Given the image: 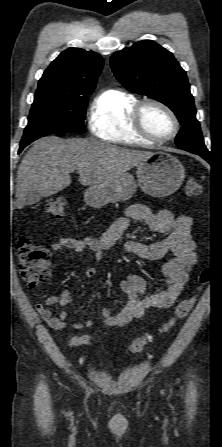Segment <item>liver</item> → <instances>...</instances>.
Returning a JSON list of instances; mask_svg holds the SVG:
<instances>
[{
  "label": "liver",
  "mask_w": 222,
  "mask_h": 447,
  "mask_svg": "<svg viewBox=\"0 0 222 447\" xmlns=\"http://www.w3.org/2000/svg\"><path fill=\"white\" fill-rule=\"evenodd\" d=\"M152 155L150 151L120 148L85 139L49 136L38 140L23 157L17 171L16 208L28 199L52 196L71 184L79 172L82 185L110 181Z\"/></svg>",
  "instance_id": "1"
}]
</instances>
